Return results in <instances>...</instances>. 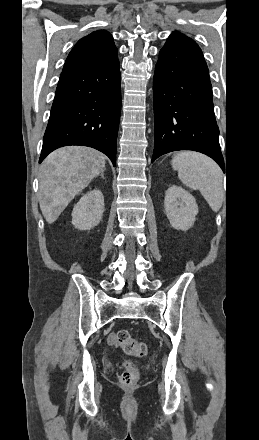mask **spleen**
<instances>
[{
    "instance_id": "obj_1",
    "label": "spleen",
    "mask_w": 259,
    "mask_h": 440,
    "mask_svg": "<svg viewBox=\"0 0 259 440\" xmlns=\"http://www.w3.org/2000/svg\"><path fill=\"white\" fill-rule=\"evenodd\" d=\"M172 167L178 171V177L184 185L201 192L213 211L221 208L224 199L223 175L212 159L200 153L183 151L173 157Z\"/></svg>"
}]
</instances>
